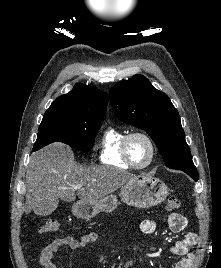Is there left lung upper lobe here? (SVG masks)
Masks as SVG:
<instances>
[{"label": "left lung upper lobe", "mask_w": 221, "mask_h": 268, "mask_svg": "<svg viewBox=\"0 0 221 268\" xmlns=\"http://www.w3.org/2000/svg\"><path fill=\"white\" fill-rule=\"evenodd\" d=\"M110 103L125 123L145 130L172 169L194 168L177 109L168 96L142 75H134L111 88Z\"/></svg>", "instance_id": "5c2ea615"}]
</instances>
